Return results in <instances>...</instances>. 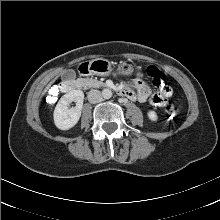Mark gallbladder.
Wrapping results in <instances>:
<instances>
[{
    "mask_svg": "<svg viewBox=\"0 0 220 220\" xmlns=\"http://www.w3.org/2000/svg\"><path fill=\"white\" fill-rule=\"evenodd\" d=\"M65 77H69V78H74L75 77V71L74 70H70L66 73H64Z\"/></svg>",
    "mask_w": 220,
    "mask_h": 220,
    "instance_id": "obj_1",
    "label": "gallbladder"
}]
</instances>
